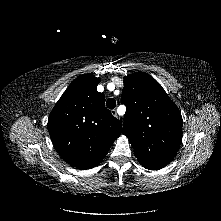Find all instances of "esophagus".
I'll list each match as a JSON object with an SVG mask.
<instances>
[{
    "label": "esophagus",
    "mask_w": 221,
    "mask_h": 221,
    "mask_svg": "<svg viewBox=\"0 0 221 221\" xmlns=\"http://www.w3.org/2000/svg\"><path fill=\"white\" fill-rule=\"evenodd\" d=\"M111 114H112L114 117H118L116 109L111 110Z\"/></svg>",
    "instance_id": "esophagus-1"
}]
</instances>
